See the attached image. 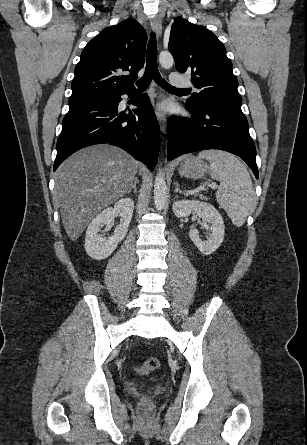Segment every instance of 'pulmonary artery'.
<instances>
[{"label": "pulmonary artery", "mask_w": 307, "mask_h": 445, "mask_svg": "<svg viewBox=\"0 0 307 445\" xmlns=\"http://www.w3.org/2000/svg\"><path fill=\"white\" fill-rule=\"evenodd\" d=\"M167 81L169 84H175L177 90H190L192 87L186 75H169Z\"/></svg>", "instance_id": "obj_1"}]
</instances>
